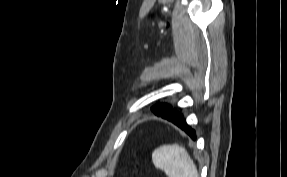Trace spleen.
<instances>
[{
	"mask_svg": "<svg viewBox=\"0 0 287 177\" xmlns=\"http://www.w3.org/2000/svg\"><path fill=\"white\" fill-rule=\"evenodd\" d=\"M152 162L168 177H199L188 152L178 144L162 145L152 153Z\"/></svg>",
	"mask_w": 287,
	"mask_h": 177,
	"instance_id": "spleen-1",
	"label": "spleen"
}]
</instances>
